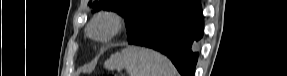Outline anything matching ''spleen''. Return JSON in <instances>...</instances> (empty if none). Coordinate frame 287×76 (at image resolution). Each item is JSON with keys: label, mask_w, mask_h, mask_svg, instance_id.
<instances>
[{"label": "spleen", "mask_w": 287, "mask_h": 76, "mask_svg": "<svg viewBox=\"0 0 287 76\" xmlns=\"http://www.w3.org/2000/svg\"><path fill=\"white\" fill-rule=\"evenodd\" d=\"M107 69L125 68L129 76H176L171 61L160 53L137 46H128L105 62Z\"/></svg>", "instance_id": "spleen-1"}]
</instances>
